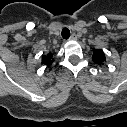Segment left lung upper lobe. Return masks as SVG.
Returning a JSON list of instances; mask_svg holds the SVG:
<instances>
[{"mask_svg":"<svg viewBox=\"0 0 127 127\" xmlns=\"http://www.w3.org/2000/svg\"><path fill=\"white\" fill-rule=\"evenodd\" d=\"M92 60L99 65H102L106 60L105 54L102 50H94L92 55Z\"/></svg>","mask_w":127,"mask_h":127,"instance_id":"left-lung-upper-lobe-1","label":"left lung upper lobe"}]
</instances>
